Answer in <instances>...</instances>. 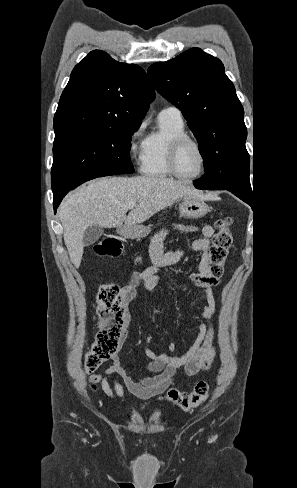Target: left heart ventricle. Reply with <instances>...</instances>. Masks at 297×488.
Here are the masks:
<instances>
[{
    "instance_id": "b2bd125f",
    "label": "left heart ventricle",
    "mask_w": 297,
    "mask_h": 488,
    "mask_svg": "<svg viewBox=\"0 0 297 488\" xmlns=\"http://www.w3.org/2000/svg\"><path fill=\"white\" fill-rule=\"evenodd\" d=\"M177 167L185 176L196 174L201 167V156L195 145L186 143L177 158Z\"/></svg>"
}]
</instances>
